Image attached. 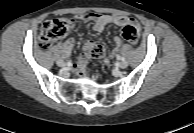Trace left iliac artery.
I'll return each mask as SVG.
<instances>
[{
  "label": "left iliac artery",
  "mask_w": 194,
  "mask_h": 133,
  "mask_svg": "<svg viewBox=\"0 0 194 133\" xmlns=\"http://www.w3.org/2000/svg\"><path fill=\"white\" fill-rule=\"evenodd\" d=\"M117 59L118 60H121V61H124L125 60V58L124 57H121V56H118Z\"/></svg>",
  "instance_id": "44dca946"
}]
</instances>
